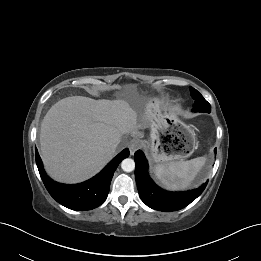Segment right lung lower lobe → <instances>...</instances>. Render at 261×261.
I'll return each mask as SVG.
<instances>
[{
  "mask_svg": "<svg viewBox=\"0 0 261 261\" xmlns=\"http://www.w3.org/2000/svg\"><path fill=\"white\" fill-rule=\"evenodd\" d=\"M128 156L129 150L124 149L95 177L74 185L61 184L50 179L43 169L37 149L36 164L46 189L58 203L73 210L84 211L94 209L106 200L113 174L119 163Z\"/></svg>",
  "mask_w": 261,
  "mask_h": 261,
  "instance_id": "right-lung-lower-lobe-1",
  "label": "right lung lower lobe"
}]
</instances>
